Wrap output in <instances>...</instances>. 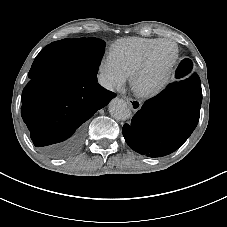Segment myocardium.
I'll list each match as a JSON object with an SVG mask.
<instances>
[{
  "label": "myocardium",
  "instance_id": "f54148a6",
  "mask_svg": "<svg viewBox=\"0 0 227 227\" xmlns=\"http://www.w3.org/2000/svg\"><path fill=\"white\" fill-rule=\"evenodd\" d=\"M172 43L175 46L176 53L162 76L152 85L148 87H141L137 83L138 76L149 66L151 63V60L153 58V55L158 48L159 45L163 43ZM180 59V48L179 45L171 38H163L158 40L155 44H153L149 50L146 52L143 59L133 68V70L130 73V85L132 90L140 95V96H153L158 94L169 82L170 78L172 77L175 68L179 62Z\"/></svg>",
  "mask_w": 227,
  "mask_h": 227
}]
</instances>
